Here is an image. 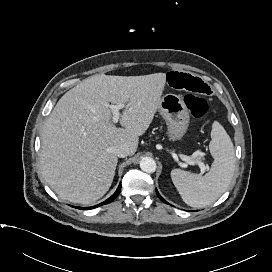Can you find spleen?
Masks as SVG:
<instances>
[{"label": "spleen", "instance_id": "spleen-1", "mask_svg": "<svg viewBox=\"0 0 272 272\" xmlns=\"http://www.w3.org/2000/svg\"><path fill=\"white\" fill-rule=\"evenodd\" d=\"M209 150L214 158L210 171L205 175L181 169L171 171V179L183 201L196 208L214 203L230 185L235 171L233 143L224 127L217 121L212 124Z\"/></svg>", "mask_w": 272, "mask_h": 272}]
</instances>
